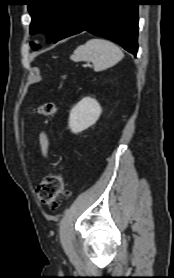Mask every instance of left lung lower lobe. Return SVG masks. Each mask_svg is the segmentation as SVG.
I'll list each match as a JSON object with an SVG mask.
<instances>
[{"mask_svg": "<svg viewBox=\"0 0 174 278\" xmlns=\"http://www.w3.org/2000/svg\"><path fill=\"white\" fill-rule=\"evenodd\" d=\"M139 0H78L55 42L84 30L112 40L136 56Z\"/></svg>", "mask_w": 174, "mask_h": 278, "instance_id": "left-lung-lower-lobe-1", "label": "left lung lower lobe"}]
</instances>
